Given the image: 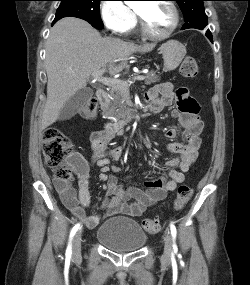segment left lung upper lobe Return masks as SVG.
I'll return each instance as SVG.
<instances>
[{"instance_id": "left-lung-upper-lobe-1", "label": "left lung upper lobe", "mask_w": 250, "mask_h": 285, "mask_svg": "<svg viewBox=\"0 0 250 285\" xmlns=\"http://www.w3.org/2000/svg\"><path fill=\"white\" fill-rule=\"evenodd\" d=\"M183 12L185 24L183 29L196 28L203 30L208 24L203 1L205 0H175ZM209 31V30H207Z\"/></svg>"}]
</instances>
